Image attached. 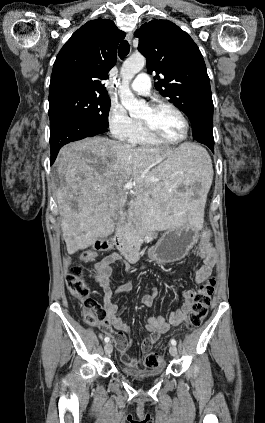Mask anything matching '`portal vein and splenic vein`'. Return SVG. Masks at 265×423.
<instances>
[{
  "instance_id": "obj_1",
  "label": "portal vein and splenic vein",
  "mask_w": 265,
  "mask_h": 423,
  "mask_svg": "<svg viewBox=\"0 0 265 423\" xmlns=\"http://www.w3.org/2000/svg\"><path fill=\"white\" fill-rule=\"evenodd\" d=\"M134 186H136V183L135 182H127L126 184H125V188L127 189V190H131Z\"/></svg>"
}]
</instances>
